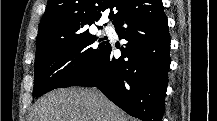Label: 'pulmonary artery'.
<instances>
[{
  "label": "pulmonary artery",
  "instance_id": "obj_1",
  "mask_svg": "<svg viewBox=\"0 0 217 121\" xmlns=\"http://www.w3.org/2000/svg\"><path fill=\"white\" fill-rule=\"evenodd\" d=\"M105 30H106V32L109 33V34H112V33L114 32V29H113L112 27H110V26H107V27L105 28Z\"/></svg>",
  "mask_w": 217,
  "mask_h": 121
}]
</instances>
